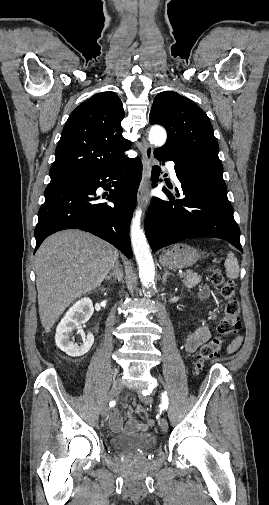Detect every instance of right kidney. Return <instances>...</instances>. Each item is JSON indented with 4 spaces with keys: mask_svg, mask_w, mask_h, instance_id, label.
Masks as SVG:
<instances>
[{
    "mask_svg": "<svg viewBox=\"0 0 269 505\" xmlns=\"http://www.w3.org/2000/svg\"><path fill=\"white\" fill-rule=\"evenodd\" d=\"M94 312L93 303L90 298H82L77 301L65 314L56 329V345L71 357H79L86 354L94 343L92 333L85 335L81 325L86 323ZM75 329L81 331L83 343L79 345L71 341L72 333Z\"/></svg>",
    "mask_w": 269,
    "mask_h": 505,
    "instance_id": "ca27d5eb",
    "label": "right kidney"
}]
</instances>
